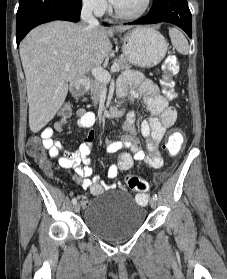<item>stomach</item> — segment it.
<instances>
[{
  "instance_id": "1",
  "label": "stomach",
  "mask_w": 227,
  "mask_h": 279,
  "mask_svg": "<svg viewBox=\"0 0 227 279\" xmlns=\"http://www.w3.org/2000/svg\"><path fill=\"white\" fill-rule=\"evenodd\" d=\"M122 51L128 62L142 68L158 65L166 55L168 43L158 31L137 27L122 37Z\"/></svg>"
}]
</instances>
